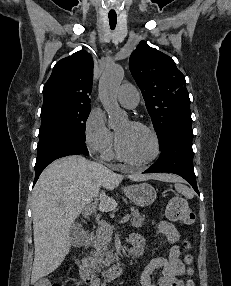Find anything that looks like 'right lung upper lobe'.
Instances as JSON below:
<instances>
[{"mask_svg": "<svg viewBox=\"0 0 231 286\" xmlns=\"http://www.w3.org/2000/svg\"><path fill=\"white\" fill-rule=\"evenodd\" d=\"M93 60L91 55L78 51L58 61L43 88V106L55 103L90 105Z\"/></svg>", "mask_w": 231, "mask_h": 286, "instance_id": "cb5924a9", "label": "right lung upper lobe"}]
</instances>
